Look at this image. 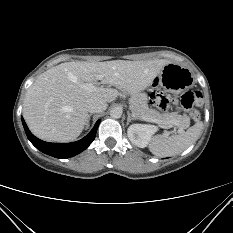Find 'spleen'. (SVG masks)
<instances>
[{
    "instance_id": "1",
    "label": "spleen",
    "mask_w": 233,
    "mask_h": 233,
    "mask_svg": "<svg viewBox=\"0 0 233 233\" xmlns=\"http://www.w3.org/2000/svg\"><path fill=\"white\" fill-rule=\"evenodd\" d=\"M202 126V122H198L181 134L157 136L149 144V149L157 157L179 154L197 141L201 135Z\"/></svg>"
}]
</instances>
